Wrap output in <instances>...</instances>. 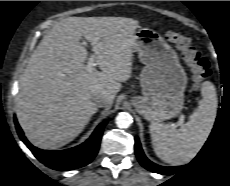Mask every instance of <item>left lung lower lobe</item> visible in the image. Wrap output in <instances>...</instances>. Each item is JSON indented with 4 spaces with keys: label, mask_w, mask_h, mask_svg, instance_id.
<instances>
[{
    "label": "left lung lower lobe",
    "mask_w": 230,
    "mask_h": 186,
    "mask_svg": "<svg viewBox=\"0 0 230 186\" xmlns=\"http://www.w3.org/2000/svg\"><path fill=\"white\" fill-rule=\"evenodd\" d=\"M135 152H136V156H137L139 162L141 163V165L143 167H145L146 169H148L152 172H155V173H159V174H163V175H171V174L178 172L182 168L186 169L188 167V165L187 166H178V167H164V166H159V165L149 161L142 151L138 137H135Z\"/></svg>",
    "instance_id": "1"
}]
</instances>
